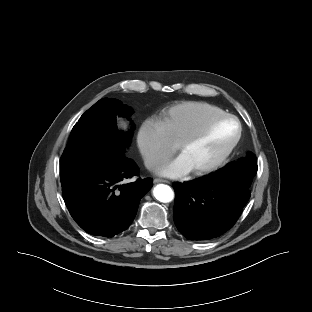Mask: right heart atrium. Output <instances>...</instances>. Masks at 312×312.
Here are the masks:
<instances>
[{
  "label": "right heart atrium",
  "mask_w": 312,
  "mask_h": 312,
  "mask_svg": "<svg viewBox=\"0 0 312 312\" xmlns=\"http://www.w3.org/2000/svg\"><path fill=\"white\" fill-rule=\"evenodd\" d=\"M137 144L145 165L150 170L157 169L169 159L174 147L160 119L146 118L140 125Z\"/></svg>",
  "instance_id": "d8ad5b80"
}]
</instances>
